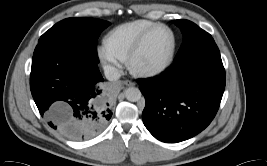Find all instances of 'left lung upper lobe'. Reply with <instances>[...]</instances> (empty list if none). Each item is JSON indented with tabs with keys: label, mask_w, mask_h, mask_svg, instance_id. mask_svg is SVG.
<instances>
[{
	"label": "left lung upper lobe",
	"mask_w": 267,
	"mask_h": 166,
	"mask_svg": "<svg viewBox=\"0 0 267 166\" xmlns=\"http://www.w3.org/2000/svg\"><path fill=\"white\" fill-rule=\"evenodd\" d=\"M175 24L181 29L184 37L183 43L175 60H180L186 57L188 54L203 45L215 43L209 33L191 21L176 20Z\"/></svg>",
	"instance_id": "obj_1"
}]
</instances>
